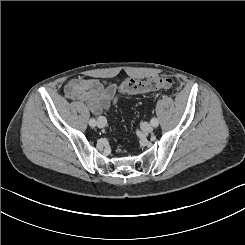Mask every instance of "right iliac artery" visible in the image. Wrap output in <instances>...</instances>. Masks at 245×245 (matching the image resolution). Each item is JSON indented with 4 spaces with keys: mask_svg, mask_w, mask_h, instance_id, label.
Wrapping results in <instances>:
<instances>
[{
    "mask_svg": "<svg viewBox=\"0 0 245 245\" xmlns=\"http://www.w3.org/2000/svg\"><path fill=\"white\" fill-rule=\"evenodd\" d=\"M89 125L91 127H95L96 126V120L94 118H91L90 121H89Z\"/></svg>",
    "mask_w": 245,
    "mask_h": 245,
    "instance_id": "1",
    "label": "right iliac artery"
}]
</instances>
